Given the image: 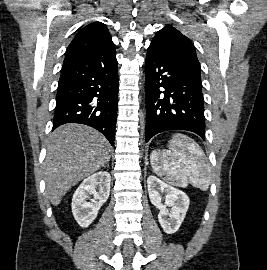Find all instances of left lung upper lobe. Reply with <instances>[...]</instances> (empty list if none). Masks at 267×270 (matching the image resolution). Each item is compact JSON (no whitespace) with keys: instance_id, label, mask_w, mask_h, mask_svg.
<instances>
[{"instance_id":"5c2ea615","label":"left lung upper lobe","mask_w":267,"mask_h":270,"mask_svg":"<svg viewBox=\"0 0 267 270\" xmlns=\"http://www.w3.org/2000/svg\"><path fill=\"white\" fill-rule=\"evenodd\" d=\"M150 46L161 51L181 65L188 67L200 76L201 68L194 45L188 37L174 27L167 25L159 30L151 41Z\"/></svg>"}]
</instances>
